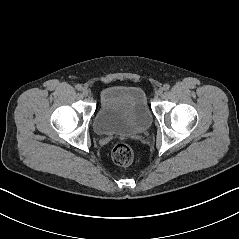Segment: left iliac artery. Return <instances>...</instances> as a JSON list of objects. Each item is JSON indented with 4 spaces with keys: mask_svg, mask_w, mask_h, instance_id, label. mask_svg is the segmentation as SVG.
Returning a JSON list of instances; mask_svg holds the SVG:
<instances>
[{
    "mask_svg": "<svg viewBox=\"0 0 239 239\" xmlns=\"http://www.w3.org/2000/svg\"><path fill=\"white\" fill-rule=\"evenodd\" d=\"M169 88H170V85H169V84H165V85L163 86V89H164L165 91L169 90Z\"/></svg>",
    "mask_w": 239,
    "mask_h": 239,
    "instance_id": "44dca946",
    "label": "left iliac artery"
}]
</instances>
